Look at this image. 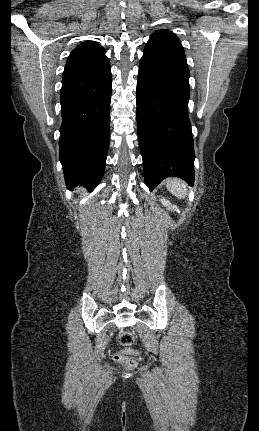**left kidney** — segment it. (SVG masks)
Here are the masks:
<instances>
[{"mask_svg": "<svg viewBox=\"0 0 259 431\" xmlns=\"http://www.w3.org/2000/svg\"><path fill=\"white\" fill-rule=\"evenodd\" d=\"M160 201L164 206L168 207L169 210H171V207L172 208L176 207V206H172V204L168 200H166L165 198L160 199Z\"/></svg>", "mask_w": 259, "mask_h": 431, "instance_id": "1", "label": "left kidney"}]
</instances>
